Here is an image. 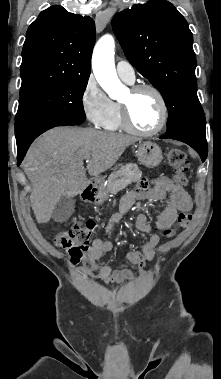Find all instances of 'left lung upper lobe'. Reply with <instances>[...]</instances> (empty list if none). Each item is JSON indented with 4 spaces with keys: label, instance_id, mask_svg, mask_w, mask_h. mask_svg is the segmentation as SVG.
<instances>
[{
    "label": "left lung upper lobe",
    "instance_id": "left-lung-upper-lobe-1",
    "mask_svg": "<svg viewBox=\"0 0 221 379\" xmlns=\"http://www.w3.org/2000/svg\"><path fill=\"white\" fill-rule=\"evenodd\" d=\"M111 24L128 61L163 96L167 132L186 130L206 136L193 35L185 18L170 2L150 0L117 13Z\"/></svg>",
    "mask_w": 221,
    "mask_h": 379
}]
</instances>
